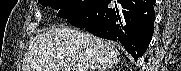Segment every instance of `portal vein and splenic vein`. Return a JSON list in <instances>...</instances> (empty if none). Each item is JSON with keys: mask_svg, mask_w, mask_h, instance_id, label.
Wrapping results in <instances>:
<instances>
[{"mask_svg": "<svg viewBox=\"0 0 181 71\" xmlns=\"http://www.w3.org/2000/svg\"><path fill=\"white\" fill-rule=\"evenodd\" d=\"M65 71H73V69L71 67H66Z\"/></svg>", "mask_w": 181, "mask_h": 71, "instance_id": "1", "label": "portal vein and splenic vein"}]
</instances>
